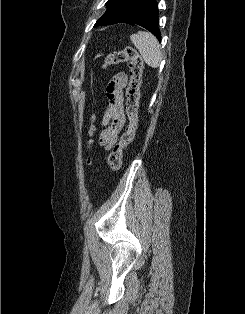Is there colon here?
<instances>
[{"label":"colon","instance_id":"1","mask_svg":"<svg viewBox=\"0 0 245 314\" xmlns=\"http://www.w3.org/2000/svg\"><path fill=\"white\" fill-rule=\"evenodd\" d=\"M127 62L129 65V85L127 88V115L128 126L122 134L119 142L113 147L108 157L110 171L114 172L120 169L122 165V156L124 149L134 140L138 123V107L140 99V86L142 82V73L144 62L139 53L132 47H127L120 51H115L107 55L104 60V67L117 65ZM94 121V117L92 118ZM95 126L92 123L88 130L87 146L92 145V136Z\"/></svg>","mask_w":245,"mask_h":314}]
</instances>
